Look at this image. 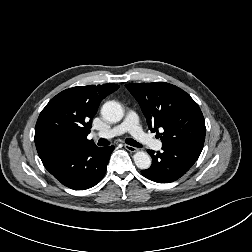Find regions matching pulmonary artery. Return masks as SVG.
Returning <instances> with one entry per match:
<instances>
[{
  "instance_id": "obj_1",
  "label": "pulmonary artery",
  "mask_w": 252,
  "mask_h": 252,
  "mask_svg": "<svg viewBox=\"0 0 252 252\" xmlns=\"http://www.w3.org/2000/svg\"><path fill=\"white\" fill-rule=\"evenodd\" d=\"M129 132L139 143L154 150H161L162 143L150 134L143 131L139 124L138 115L134 111H129L125 120L119 125L105 131L98 133L99 137L112 138Z\"/></svg>"
}]
</instances>
